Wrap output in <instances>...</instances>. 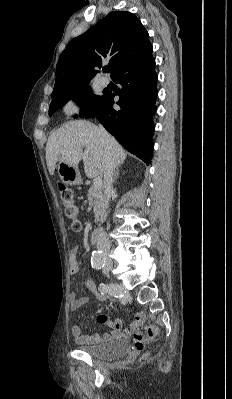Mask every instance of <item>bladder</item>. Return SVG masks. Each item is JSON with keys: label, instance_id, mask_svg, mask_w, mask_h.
Wrapping results in <instances>:
<instances>
[{"label": "bladder", "instance_id": "1", "mask_svg": "<svg viewBox=\"0 0 232 399\" xmlns=\"http://www.w3.org/2000/svg\"><path fill=\"white\" fill-rule=\"evenodd\" d=\"M77 350L100 360H116L126 356L129 344L125 339L116 338L102 343L79 345Z\"/></svg>", "mask_w": 232, "mask_h": 399}]
</instances>
